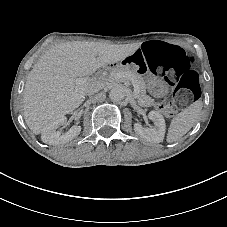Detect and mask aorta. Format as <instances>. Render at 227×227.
I'll use <instances>...</instances> for the list:
<instances>
[{"label": "aorta", "mask_w": 227, "mask_h": 227, "mask_svg": "<svg viewBox=\"0 0 227 227\" xmlns=\"http://www.w3.org/2000/svg\"><path fill=\"white\" fill-rule=\"evenodd\" d=\"M126 89L123 86L117 85L113 87L109 93V97L112 101H121L125 98Z\"/></svg>", "instance_id": "obj_1"}]
</instances>
